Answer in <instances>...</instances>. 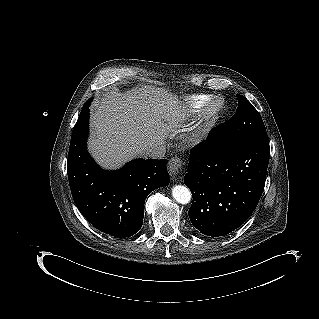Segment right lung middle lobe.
<instances>
[{"mask_svg": "<svg viewBox=\"0 0 319 319\" xmlns=\"http://www.w3.org/2000/svg\"><path fill=\"white\" fill-rule=\"evenodd\" d=\"M92 101V98H90L88 101H86V103L84 104V106H83V108H82V111H83V109L85 108V106H87V105H90V102ZM81 111V112H82Z\"/></svg>", "mask_w": 319, "mask_h": 319, "instance_id": "1", "label": "right lung middle lobe"}]
</instances>
